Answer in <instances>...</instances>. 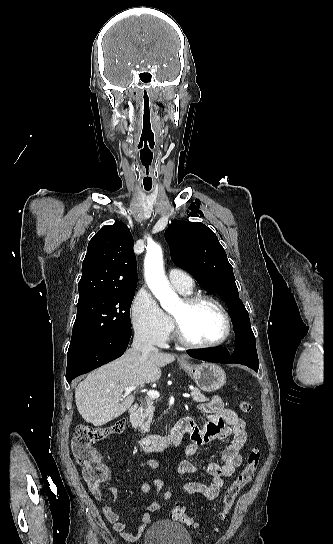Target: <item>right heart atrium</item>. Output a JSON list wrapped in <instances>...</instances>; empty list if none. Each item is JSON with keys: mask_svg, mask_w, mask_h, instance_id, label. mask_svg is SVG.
I'll use <instances>...</instances> for the list:
<instances>
[{"mask_svg": "<svg viewBox=\"0 0 333 544\" xmlns=\"http://www.w3.org/2000/svg\"><path fill=\"white\" fill-rule=\"evenodd\" d=\"M131 321L137 336L156 345L165 344L173 328L170 317L146 290L139 291L132 301Z\"/></svg>", "mask_w": 333, "mask_h": 544, "instance_id": "d8ad5b80", "label": "right heart atrium"}]
</instances>
